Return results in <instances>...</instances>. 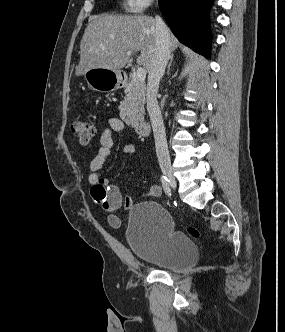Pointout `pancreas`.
Returning <instances> with one entry per match:
<instances>
[{
	"label": "pancreas",
	"instance_id": "1",
	"mask_svg": "<svg viewBox=\"0 0 285 332\" xmlns=\"http://www.w3.org/2000/svg\"><path fill=\"white\" fill-rule=\"evenodd\" d=\"M145 91L144 83L131 75L130 82L124 88V100L119 107L121 117L131 124L144 121Z\"/></svg>",
	"mask_w": 285,
	"mask_h": 332
}]
</instances>
